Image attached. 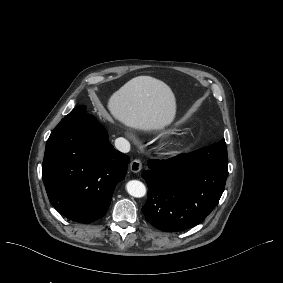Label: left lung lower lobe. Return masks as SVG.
<instances>
[{
	"label": "left lung lower lobe",
	"mask_w": 283,
	"mask_h": 283,
	"mask_svg": "<svg viewBox=\"0 0 283 283\" xmlns=\"http://www.w3.org/2000/svg\"><path fill=\"white\" fill-rule=\"evenodd\" d=\"M142 177L148 198L146 220L162 231H183L202 222L217 206L228 175L225 140L167 160L148 161Z\"/></svg>",
	"instance_id": "obj_1"
}]
</instances>
